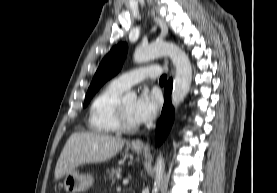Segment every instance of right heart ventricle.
<instances>
[{"instance_id":"obj_1","label":"right heart ventricle","mask_w":277,"mask_h":193,"mask_svg":"<svg viewBox=\"0 0 277 193\" xmlns=\"http://www.w3.org/2000/svg\"><path fill=\"white\" fill-rule=\"evenodd\" d=\"M125 90L113 82L106 85L93 99L89 107L88 127L97 134L119 132L116 107Z\"/></svg>"}]
</instances>
